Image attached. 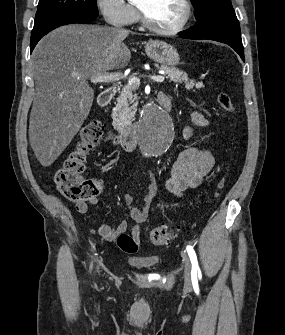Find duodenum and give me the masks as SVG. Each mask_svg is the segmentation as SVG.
Here are the masks:
<instances>
[{"instance_id":"1","label":"duodenum","mask_w":285,"mask_h":335,"mask_svg":"<svg viewBox=\"0 0 285 335\" xmlns=\"http://www.w3.org/2000/svg\"><path fill=\"white\" fill-rule=\"evenodd\" d=\"M115 94L116 87H110L105 89L99 96L98 101L100 106H107L111 102ZM160 104L165 109L171 108V102L169 99H160ZM110 139L114 143L120 145L126 151H132L135 148L138 140V124L133 123L117 134L110 133Z\"/></svg>"}]
</instances>
